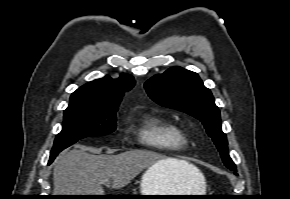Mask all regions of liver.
<instances>
[{"mask_svg":"<svg viewBox=\"0 0 290 199\" xmlns=\"http://www.w3.org/2000/svg\"><path fill=\"white\" fill-rule=\"evenodd\" d=\"M155 164L179 177L176 193H190L194 189L193 181L200 171L185 160L164 158L147 150L94 155L83 149H73L63 152L56 160L54 195H103V182L111 180L113 189L123 188L141 171Z\"/></svg>","mask_w":290,"mask_h":199,"instance_id":"liver-1","label":"liver"}]
</instances>
